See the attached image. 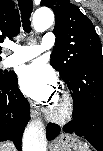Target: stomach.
Here are the masks:
<instances>
[{
	"mask_svg": "<svg viewBox=\"0 0 103 151\" xmlns=\"http://www.w3.org/2000/svg\"><path fill=\"white\" fill-rule=\"evenodd\" d=\"M51 151H88L84 143L75 136L60 135L51 146Z\"/></svg>",
	"mask_w": 103,
	"mask_h": 151,
	"instance_id": "1",
	"label": "stomach"
}]
</instances>
